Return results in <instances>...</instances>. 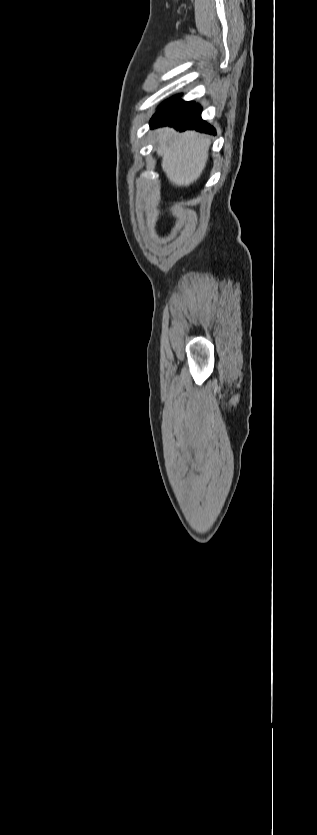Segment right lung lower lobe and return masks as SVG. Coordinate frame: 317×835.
Segmentation results:
<instances>
[{
  "mask_svg": "<svg viewBox=\"0 0 317 835\" xmlns=\"http://www.w3.org/2000/svg\"><path fill=\"white\" fill-rule=\"evenodd\" d=\"M201 107L194 102L183 100L162 106L151 119V127L173 126L179 131L194 129L200 132L215 134L214 128L201 118Z\"/></svg>",
  "mask_w": 317,
  "mask_h": 835,
  "instance_id": "98d812e1",
  "label": "right lung lower lobe"
}]
</instances>
